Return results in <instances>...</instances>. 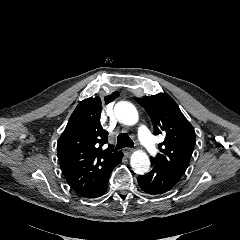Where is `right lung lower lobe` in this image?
<instances>
[{
	"label": "right lung lower lobe",
	"instance_id": "obj_1",
	"mask_svg": "<svg viewBox=\"0 0 240 240\" xmlns=\"http://www.w3.org/2000/svg\"><path fill=\"white\" fill-rule=\"evenodd\" d=\"M122 157H123V155L121 156V159H122ZM121 159L118 162V164L121 162ZM111 171L97 184V186L92 191H90L87 195H85L83 197L97 198V197H100L101 195H103L107 190L108 179H109Z\"/></svg>",
	"mask_w": 240,
	"mask_h": 240
}]
</instances>
